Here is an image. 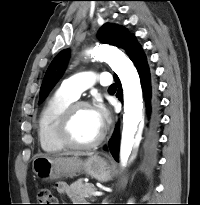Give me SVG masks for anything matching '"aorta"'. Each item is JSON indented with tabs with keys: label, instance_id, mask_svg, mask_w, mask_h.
Listing matches in <instances>:
<instances>
[{
	"label": "aorta",
	"instance_id": "1",
	"mask_svg": "<svg viewBox=\"0 0 200 205\" xmlns=\"http://www.w3.org/2000/svg\"><path fill=\"white\" fill-rule=\"evenodd\" d=\"M86 53L96 60L108 63L121 80L124 115L120 155L124 158L133 145L138 147L141 140L142 130L140 129L136 134L143 116L142 88L138 72L132 61L115 46L98 45Z\"/></svg>",
	"mask_w": 200,
	"mask_h": 205
}]
</instances>
